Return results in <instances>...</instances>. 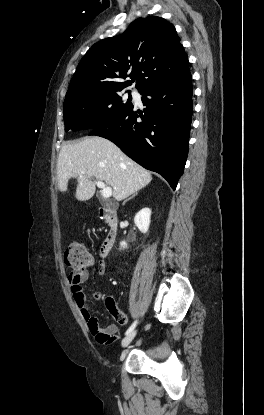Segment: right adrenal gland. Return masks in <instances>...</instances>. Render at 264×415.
Returning <instances> with one entry per match:
<instances>
[{
    "label": "right adrenal gland",
    "mask_w": 264,
    "mask_h": 415,
    "mask_svg": "<svg viewBox=\"0 0 264 415\" xmlns=\"http://www.w3.org/2000/svg\"><path fill=\"white\" fill-rule=\"evenodd\" d=\"M137 194V192L136 193H134L130 198H128L127 200H125V202H127L128 200H130L131 198H133L135 195ZM124 202V203H125Z\"/></svg>",
    "instance_id": "right-adrenal-gland-1"
}]
</instances>
